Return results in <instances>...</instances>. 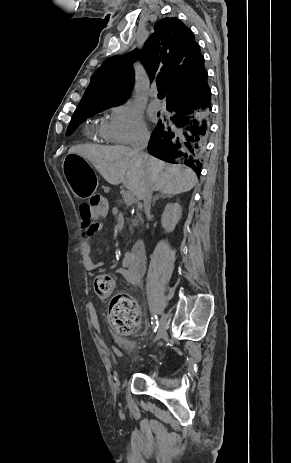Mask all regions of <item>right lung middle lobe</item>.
Instances as JSON below:
<instances>
[{"instance_id": "obj_1", "label": "right lung middle lobe", "mask_w": 291, "mask_h": 463, "mask_svg": "<svg viewBox=\"0 0 291 463\" xmlns=\"http://www.w3.org/2000/svg\"><path fill=\"white\" fill-rule=\"evenodd\" d=\"M117 104H120V103H109V104H103V105L92 106V107H82V108L76 109V111L73 114L72 120L67 128L66 134L70 135L75 130L76 126L79 123H81L86 117L90 116L91 114L103 111Z\"/></svg>"}]
</instances>
